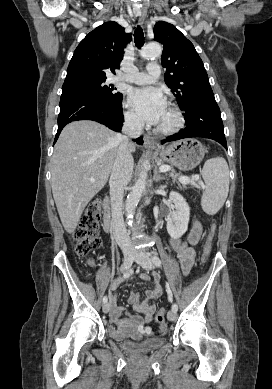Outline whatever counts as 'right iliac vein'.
Instances as JSON below:
<instances>
[{
    "mask_svg": "<svg viewBox=\"0 0 272 389\" xmlns=\"http://www.w3.org/2000/svg\"><path fill=\"white\" fill-rule=\"evenodd\" d=\"M134 257L135 255L133 253H125L124 254V260H123V264L121 266V271L122 272H126L130 269V267L132 266V263H133V260H134ZM103 312L106 314L109 312L110 310V304L109 303H105L103 305Z\"/></svg>",
    "mask_w": 272,
    "mask_h": 389,
    "instance_id": "obj_1",
    "label": "right iliac vein"
}]
</instances>
